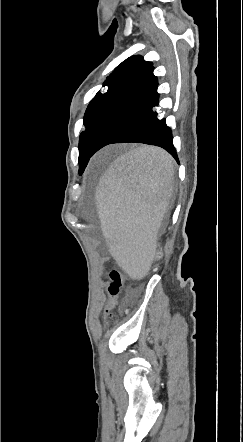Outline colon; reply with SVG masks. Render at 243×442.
I'll return each mask as SVG.
<instances>
[{
    "label": "colon",
    "mask_w": 243,
    "mask_h": 442,
    "mask_svg": "<svg viewBox=\"0 0 243 442\" xmlns=\"http://www.w3.org/2000/svg\"><path fill=\"white\" fill-rule=\"evenodd\" d=\"M168 243L163 241L161 245L157 246L156 250L152 251V260L155 263H159L162 260V256L167 251ZM147 268H151V265H147ZM106 276L109 277V282L106 289L107 300L104 307V320H109L112 316L114 309L117 306L118 299L122 298V291L128 280L126 276H130V273H126L124 269L119 267L109 266L106 269Z\"/></svg>",
    "instance_id": "1"
}]
</instances>
